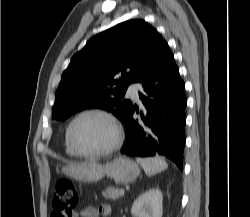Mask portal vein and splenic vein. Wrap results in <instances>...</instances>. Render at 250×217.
Returning a JSON list of instances; mask_svg holds the SVG:
<instances>
[{
  "label": "portal vein and splenic vein",
  "instance_id": "1",
  "mask_svg": "<svg viewBox=\"0 0 250 217\" xmlns=\"http://www.w3.org/2000/svg\"><path fill=\"white\" fill-rule=\"evenodd\" d=\"M121 196L124 195V190H121L120 193H119Z\"/></svg>",
  "mask_w": 250,
  "mask_h": 217
}]
</instances>
